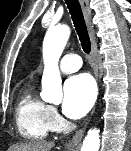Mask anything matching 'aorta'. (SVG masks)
<instances>
[{
  "label": "aorta",
  "mask_w": 131,
  "mask_h": 151,
  "mask_svg": "<svg viewBox=\"0 0 131 151\" xmlns=\"http://www.w3.org/2000/svg\"><path fill=\"white\" fill-rule=\"evenodd\" d=\"M70 36V28L66 25L50 27L43 45L44 72L42 77V97L54 102L61 96V77L58 61ZM100 130L90 129L83 141L81 151H99Z\"/></svg>",
  "instance_id": "obj_1"
}]
</instances>
